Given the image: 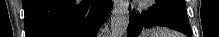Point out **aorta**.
I'll list each match as a JSON object with an SVG mask.
<instances>
[{
  "label": "aorta",
  "instance_id": "aorta-1",
  "mask_svg": "<svg viewBox=\"0 0 219 37\" xmlns=\"http://www.w3.org/2000/svg\"><path fill=\"white\" fill-rule=\"evenodd\" d=\"M129 18L127 1L118 0L111 13V37H123L126 34Z\"/></svg>",
  "mask_w": 219,
  "mask_h": 37
}]
</instances>
